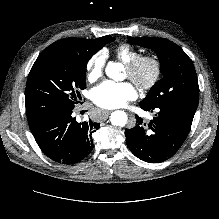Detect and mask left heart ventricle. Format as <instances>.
<instances>
[{"instance_id": "1", "label": "left heart ventricle", "mask_w": 219, "mask_h": 219, "mask_svg": "<svg viewBox=\"0 0 219 219\" xmlns=\"http://www.w3.org/2000/svg\"><path fill=\"white\" fill-rule=\"evenodd\" d=\"M151 74V69L149 67H145L142 69L141 73H140V76L142 79H147ZM126 76L128 77V73L126 71Z\"/></svg>"}]
</instances>
